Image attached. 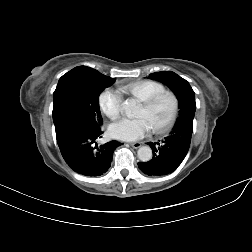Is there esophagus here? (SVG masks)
Returning <instances> with one entry per match:
<instances>
[{
  "label": "esophagus",
  "instance_id": "1",
  "mask_svg": "<svg viewBox=\"0 0 252 252\" xmlns=\"http://www.w3.org/2000/svg\"><path fill=\"white\" fill-rule=\"evenodd\" d=\"M130 146L134 149H137L141 146V142L130 143Z\"/></svg>",
  "mask_w": 252,
  "mask_h": 252
}]
</instances>
